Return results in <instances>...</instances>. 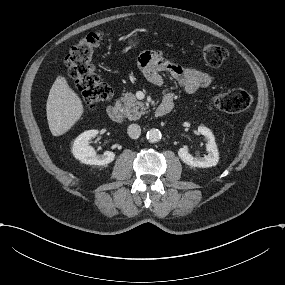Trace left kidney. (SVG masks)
Wrapping results in <instances>:
<instances>
[{
    "label": "left kidney",
    "mask_w": 285,
    "mask_h": 285,
    "mask_svg": "<svg viewBox=\"0 0 285 285\" xmlns=\"http://www.w3.org/2000/svg\"><path fill=\"white\" fill-rule=\"evenodd\" d=\"M198 133L205 136L207 139L205 148L208 154L205 155L202 159H196L188 153L187 149L180 148L178 150V156L188 166L196 168H213L217 165L219 160L214 136L206 127H199Z\"/></svg>",
    "instance_id": "5707ae66"
}]
</instances>
